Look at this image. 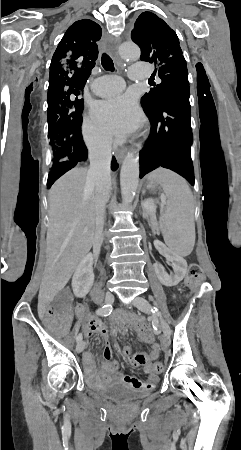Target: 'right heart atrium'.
Wrapping results in <instances>:
<instances>
[{"instance_id": "d8ad5b80", "label": "right heart atrium", "mask_w": 241, "mask_h": 450, "mask_svg": "<svg viewBox=\"0 0 241 450\" xmlns=\"http://www.w3.org/2000/svg\"><path fill=\"white\" fill-rule=\"evenodd\" d=\"M82 133L91 155H110L111 136L87 117L83 120Z\"/></svg>"}]
</instances>
